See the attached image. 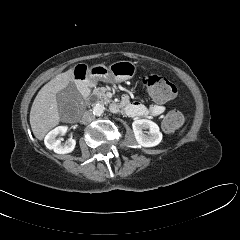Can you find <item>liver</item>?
I'll use <instances>...</instances> for the list:
<instances>
[{
  "label": "liver",
  "instance_id": "liver-1",
  "mask_svg": "<svg viewBox=\"0 0 240 240\" xmlns=\"http://www.w3.org/2000/svg\"><path fill=\"white\" fill-rule=\"evenodd\" d=\"M73 81L74 70L69 69L45 84L35 97L30 111V125L38 140H42L49 130L59 124L56 95Z\"/></svg>",
  "mask_w": 240,
  "mask_h": 240
}]
</instances>
